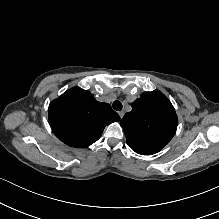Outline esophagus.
<instances>
[{
	"mask_svg": "<svg viewBox=\"0 0 219 219\" xmlns=\"http://www.w3.org/2000/svg\"><path fill=\"white\" fill-rule=\"evenodd\" d=\"M119 116H120L121 118H123V116H124V111H120V112H119Z\"/></svg>",
	"mask_w": 219,
	"mask_h": 219,
	"instance_id": "1",
	"label": "esophagus"
}]
</instances>
